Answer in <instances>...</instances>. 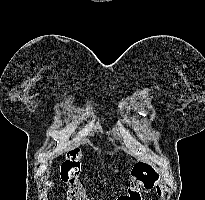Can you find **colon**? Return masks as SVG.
<instances>
[{
	"mask_svg": "<svg viewBox=\"0 0 205 200\" xmlns=\"http://www.w3.org/2000/svg\"><path fill=\"white\" fill-rule=\"evenodd\" d=\"M81 153L71 150L61 164L60 177L68 184V200H87L86 190L80 181ZM159 175L149 165L137 163L131 170V178L126 193L116 200H141V192L154 187L160 190L158 185Z\"/></svg>",
	"mask_w": 205,
	"mask_h": 200,
	"instance_id": "1",
	"label": "colon"
}]
</instances>
